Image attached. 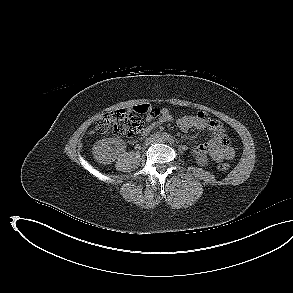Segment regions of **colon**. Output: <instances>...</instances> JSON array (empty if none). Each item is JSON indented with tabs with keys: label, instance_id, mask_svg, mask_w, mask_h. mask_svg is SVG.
Here are the masks:
<instances>
[{
	"label": "colon",
	"instance_id": "1",
	"mask_svg": "<svg viewBox=\"0 0 293 293\" xmlns=\"http://www.w3.org/2000/svg\"><path fill=\"white\" fill-rule=\"evenodd\" d=\"M144 126V120L139 115L127 110H114L103 115L96 124V130L100 134H114L122 137H130L140 132ZM221 172L229 170L227 163L217 166Z\"/></svg>",
	"mask_w": 293,
	"mask_h": 293
}]
</instances>
